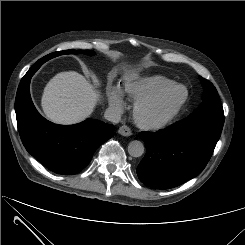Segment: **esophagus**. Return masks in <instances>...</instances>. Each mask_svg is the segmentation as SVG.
I'll return each instance as SVG.
<instances>
[{
  "label": "esophagus",
  "instance_id": "34e87169",
  "mask_svg": "<svg viewBox=\"0 0 245 245\" xmlns=\"http://www.w3.org/2000/svg\"><path fill=\"white\" fill-rule=\"evenodd\" d=\"M118 133L121 134V135H123V136H130V135H132L131 129L128 126H126V125L121 126L118 129Z\"/></svg>",
  "mask_w": 245,
  "mask_h": 245
}]
</instances>
